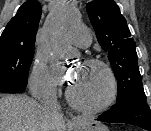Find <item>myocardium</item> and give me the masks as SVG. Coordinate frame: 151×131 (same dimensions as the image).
Instances as JSON below:
<instances>
[{
	"label": "myocardium",
	"instance_id": "myocardium-1",
	"mask_svg": "<svg viewBox=\"0 0 151 131\" xmlns=\"http://www.w3.org/2000/svg\"><path fill=\"white\" fill-rule=\"evenodd\" d=\"M83 66L99 67L105 72L109 84L107 95L102 101L98 103L88 104L77 99L73 95L71 89L69 88L66 91V97L68 99V102L77 110L85 113H92V114L102 113L107 109H109L114 104L118 96V82L115 73L109 64H107L106 62L100 59H95V58L87 59L84 61Z\"/></svg>",
	"mask_w": 151,
	"mask_h": 131
}]
</instances>
